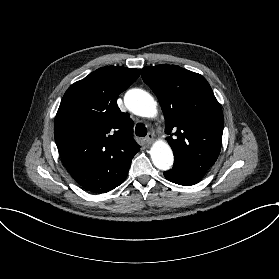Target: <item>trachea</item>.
<instances>
[{
	"label": "trachea",
	"mask_w": 279,
	"mask_h": 279,
	"mask_svg": "<svg viewBox=\"0 0 279 279\" xmlns=\"http://www.w3.org/2000/svg\"><path fill=\"white\" fill-rule=\"evenodd\" d=\"M136 135L139 137H144L147 134V128L145 125L138 123L135 128Z\"/></svg>",
	"instance_id": "1"
}]
</instances>
